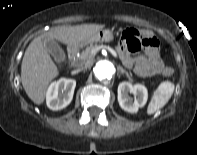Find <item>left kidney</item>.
Returning a JSON list of instances; mask_svg holds the SVG:
<instances>
[{"instance_id": "left-kidney-1", "label": "left kidney", "mask_w": 197, "mask_h": 155, "mask_svg": "<svg viewBox=\"0 0 197 155\" xmlns=\"http://www.w3.org/2000/svg\"><path fill=\"white\" fill-rule=\"evenodd\" d=\"M128 93L134 95V101ZM148 99L147 88L142 84L132 85L129 82H121L118 85V102L120 107L130 113H136L143 107Z\"/></svg>"}]
</instances>
